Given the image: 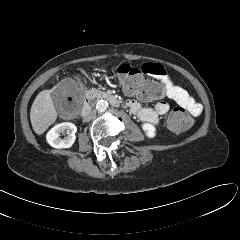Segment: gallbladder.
Returning a JSON list of instances; mask_svg holds the SVG:
<instances>
[{
  "label": "gallbladder",
  "instance_id": "obj_1",
  "mask_svg": "<svg viewBox=\"0 0 240 240\" xmlns=\"http://www.w3.org/2000/svg\"><path fill=\"white\" fill-rule=\"evenodd\" d=\"M75 88V83L67 80L52 91L51 97L59 113L68 112L74 107L75 103H68L67 97L73 94Z\"/></svg>",
  "mask_w": 240,
  "mask_h": 240
}]
</instances>
